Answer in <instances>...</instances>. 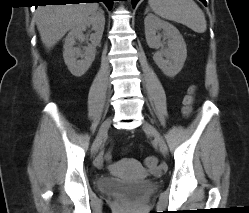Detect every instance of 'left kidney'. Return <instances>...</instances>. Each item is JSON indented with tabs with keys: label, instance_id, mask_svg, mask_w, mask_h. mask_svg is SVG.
Wrapping results in <instances>:
<instances>
[{
	"label": "left kidney",
	"instance_id": "1",
	"mask_svg": "<svg viewBox=\"0 0 249 213\" xmlns=\"http://www.w3.org/2000/svg\"><path fill=\"white\" fill-rule=\"evenodd\" d=\"M144 25L146 41L150 48H160L161 38L168 39L169 51H157L153 60L166 76L175 77L183 68L187 57L186 43L182 35L175 26L153 14L146 16ZM160 30L163 31L162 34L158 33Z\"/></svg>",
	"mask_w": 249,
	"mask_h": 213
}]
</instances>
